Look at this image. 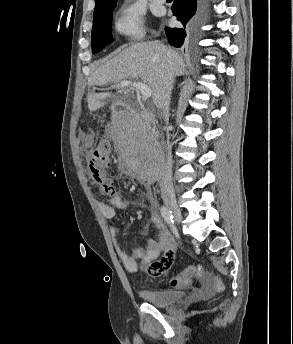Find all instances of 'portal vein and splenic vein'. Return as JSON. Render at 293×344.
I'll list each match as a JSON object with an SVG mask.
<instances>
[{
	"label": "portal vein and splenic vein",
	"instance_id": "obj_1",
	"mask_svg": "<svg viewBox=\"0 0 293 344\" xmlns=\"http://www.w3.org/2000/svg\"><path fill=\"white\" fill-rule=\"evenodd\" d=\"M121 87L131 86L140 91L143 98H149L151 96V88L143 82H132L128 80H123L120 83Z\"/></svg>",
	"mask_w": 293,
	"mask_h": 344
}]
</instances>
